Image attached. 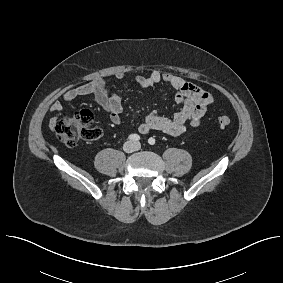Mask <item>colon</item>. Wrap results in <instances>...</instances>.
Segmentation results:
<instances>
[{
    "label": "colon",
    "instance_id": "obj_1",
    "mask_svg": "<svg viewBox=\"0 0 283 283\" xmlns=\"http://www.w3.org/2000/svg\"><path fill=\"white\" fill-rule=\"evenodd\" d=\"M217 122L226 127L231 124V119L227 115H220ZM54 130L59 141L70 147L75 146L80 139L95 140L101 136V130L94 126L93 114L87 110L57 120Z\"/></svg>",
    "mask_w": 283,
    "mask_h": 283
}]
</instances>
